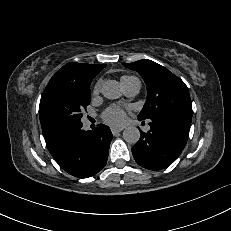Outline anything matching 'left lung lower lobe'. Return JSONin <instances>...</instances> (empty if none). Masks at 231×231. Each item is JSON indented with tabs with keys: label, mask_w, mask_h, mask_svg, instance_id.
<instances>
[{
	"label": "left lung lower lobe",
	"mask_w": 231,
	"mask_h": 231,
	"mask_svg": "<svg viewBox=\"0 0 231 231\" xmlns=\"http://www.w3.org/2000/svg\"><path fill=\"white\" fill-rule=\"evenodd\" d=\"M192 117L159 113L151 118V129L140 131L139 141L132 147L136 162L150 170H161L171 165L184 149Z\"/></svg>",
	"instance_id": "left-lung-lower-lobe-1"
}]
</instances>
